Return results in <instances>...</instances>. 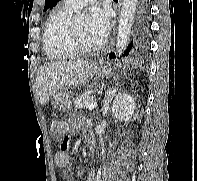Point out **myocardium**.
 <instances>
[{
	"label": "myocardium",
	"instance_id": "f54148a6",
	"mask_svg": "<svg viewBox=\"0 0 197 181\" xmlns=\"http://www.w3.org/2000/svg\"><path fill=\"white\" fill-rule=\"evenodd\" d=\"M68 39L72 49L79 55H91L98 52L102 48V43H99L94 47L84 46L78 38L74 24H70Z\"/></svg>",
	"mask_w": 197,
	"mask_h": 181
}]
</instances>
